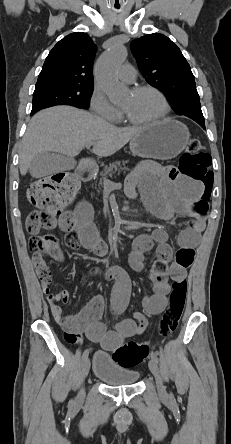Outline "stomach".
Listing matches in <instances>:
<instances>
[{
	"instance_id": "1",
	"label": "stomach",
	"mask_w": 231,
	"mask_h": 444,
	"mask_svg": "<svg viewBox=\"0 0 231 444\" xmlns=\"http://www.w3.org/2000/svg\"><path fill=\"white\" fill-rule=\"evenodd\" d=\"M189 131L181 122L168 118L146 126L131 141L133 155L142 158L168 160L176 157L187 146ZM91 161L80 163L81 168L91 166Z\"/></svg>"
}]
</instances>
